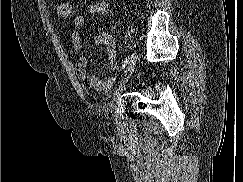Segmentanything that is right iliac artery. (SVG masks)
<instances>
[{
  "mask_svg": "<svg viewBox=\"0 0 243 182\" xmlns=\"http://www.w3.org/2000/svg\"><path fill=\"white\" fill-rule=\"evenodd\" d=\"M127 63H128V59L126 58V59L124 60V62H123V68H125V66L127 65Z\"/></svg>",
  "mask_w": 243,
  "mask_h": 182,
  "instance_id": "obj_1",
  "label": "right iliac artery"
}]
</instances>
